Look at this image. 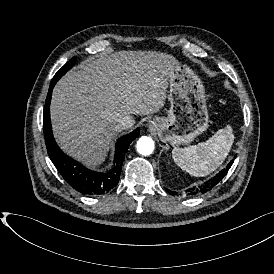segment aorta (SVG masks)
<instances>
[{
    "label": "aorta",
    "mask_w": 274,
    "mask_h": 274,
    "mask_svg": "<svg viewBox=\"0 0 274 274\" xmlns=\"http://www.w3.org/2000/svg\"><path fill=\"white\" fill-rule=\"evenodd\" d=\"M136 148L139 154L144 156L150 155L154 150V141L150 137L142 136L137 141Z\"/></svg>",
    "instance_id": "1"
}]
</instances>
